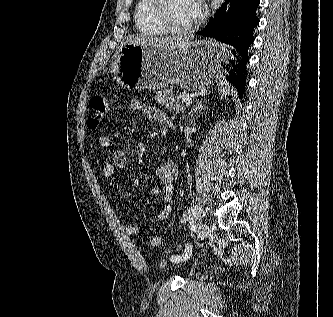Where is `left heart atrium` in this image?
I'll return each instance as SVG.
<instances>
[{
  "label": "left heart atrium",
  "mask_w": 333,
  "mask_h": 317,
  "mask_svg": "<svg viewBox=\"0 0 333 317\" xmlns=\"http://www.w3.org/2000/svg\"><path fill=\"white\" fill-rule=\"evenodd\" d=\"M196 4H197V15L199 16L202 12V6L200 0H196Z\"/></svg>",
  "instance_id": "obj_1"
}]
</instances>
